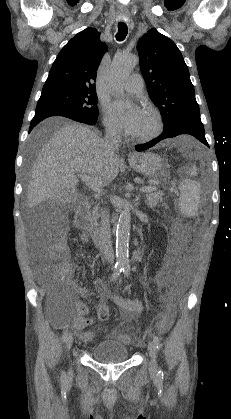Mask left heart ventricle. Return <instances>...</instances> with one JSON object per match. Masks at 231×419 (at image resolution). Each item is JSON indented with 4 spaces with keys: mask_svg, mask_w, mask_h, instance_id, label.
<instances>
[{
    "mask_svg": "<svg viewBox=\"0 0 231 419\" xmlns=\"http://www.w3.org/2000/svg\"><path fill=\"white\" fill-rule=\"evenodd\" d=\"M155 127V122L151 114L147 111L143 112V115L137 125L134 135H144L151 132Z\"/></svg>",
    "mask_w": 231,
    "mask_h": 419,
    "instance_id": "left-heart-ventricle-1",
    "label": "left heart ventricle"
}]
</instances>
